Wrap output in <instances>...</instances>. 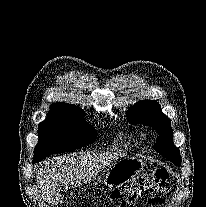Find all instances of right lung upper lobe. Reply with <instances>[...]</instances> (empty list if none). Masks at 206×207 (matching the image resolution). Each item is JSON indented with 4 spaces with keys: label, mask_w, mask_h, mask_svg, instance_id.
Segmentation results:
<instances>
[{
    "label": "right lung upper lobe",
    "mask_w": 206,
    "mask_h": 207,
    "mask_svg": "<svg viewBox=\"0 0 206 207\" xmlns=\"http://www.w3.org/2000/svg\"><path fill=\"white\" fill-rule=\"evenodd\" d=\"M51 108L53 109H64V110H71V111H77V112H84L82 109L71 105V104H67V103H55L51 105Z\"/></svg>",
    "instance_id": "1"
}]
</instances>
